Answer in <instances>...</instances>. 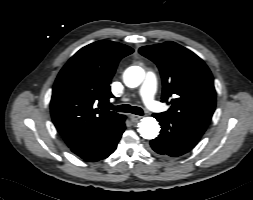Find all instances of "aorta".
Listing matches in <instances>:
<instances>
[{
  "instance_id": "obj_1",
  "label": "aorta",
  "mask_w": 253,
  "mask_h": 200,
  "mask_svg": "<svg viewBox=\"0 0 253 200\" xmlns=\"http://www.w3.org/2000/svg\"><path fill=\"white\" fill-rule=\"evenodd\" d=\"M145 72L139 66L128 68L124 74V83L126 86L134 88L140 85L144 79ZM138 132L145 139H154L159 135L160 126L153 117H144L138 123Z\"/></svg>"
}]
</instances>
